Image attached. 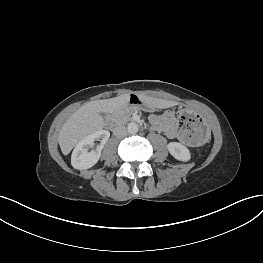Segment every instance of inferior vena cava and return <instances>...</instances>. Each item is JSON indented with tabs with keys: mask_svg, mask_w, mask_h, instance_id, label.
<instances>
[{
	"mask_svg": "<svg viewBox=\"0 0 263 263\" xmlns=\"http://www.w3.org/2000/svg\"><path fill=\"white\" fill-rule=\"evenodd\" d=\"M113 134L116 137H124L127 135V130L125 126H117L113 129Z\"/></svg>",
	"mask_w": 263,
	"mask_h": 263,
	"instance_id": "602c4592",
	"label": "inferior vena cava"
}]
</instances>
